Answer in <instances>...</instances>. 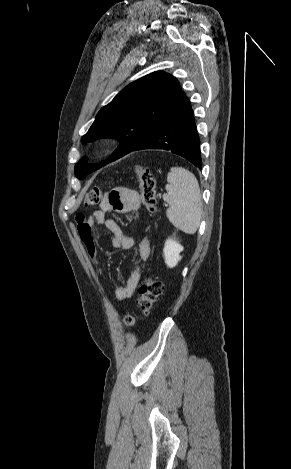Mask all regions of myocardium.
I'll use <instances>...</instances> for the list:
<instances>
[{"instance_id": "f54148a6", "label": "myocardium", "mask_w": 291, "mask_h": 469, "mask_svg": "<svg viewBox=\"0 0 291 469\" xmlns=\"http://www.w3.org/2000/svg\"><path fill=\"white\" fill-rule=\"evenodd\" d=\"M108 143H109V140H108V139H106V138H105V139H102V140L99 142V147H100V148H104V147H106V146L108 145Z\"/></svg>"}]
</instances>
